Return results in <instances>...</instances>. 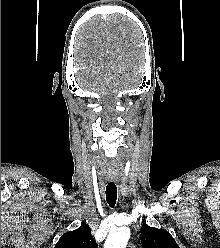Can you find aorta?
Instances as JSON below:
<instances>
[{
	"label": "aorta",
	"instance_id": "762f6f07",
	"mask_svg": "<svg viewBox=\"0 0 220 248\" xmlns=\"http://www.w3.org/2000/svg\"><path fill=\"white\" fill-rule=\"evenodd\" d=\"M129 238L130 229L121 227L108 235L104 248H125Z\"/></svg>",
	"mask_w": 220,
	"mask_h": 248
}]
</instances>
